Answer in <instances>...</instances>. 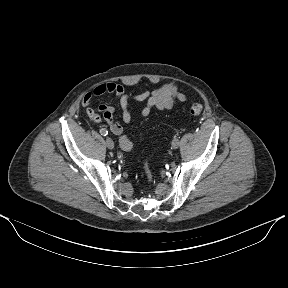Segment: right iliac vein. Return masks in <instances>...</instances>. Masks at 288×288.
I'll return each mask as SVG.
<instances>
[{
	"label": "right iliac vein",
	"mask_w": 288,
	"mask_h": 288,
	"mask_svg": "<svg viewBox=\"0 0 288 288\" xmlns=\"http://www.w3.org/2000/svg\"><path fill=\"white\" fill-rule=\"evenodd\" d=\"M105 144L109 149H113L114 148V142L111 138L107 137L105 140Z\"/></svg>",
	"instance_id": "63e3f726"
}]
</instances>
